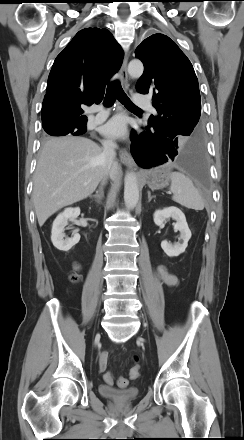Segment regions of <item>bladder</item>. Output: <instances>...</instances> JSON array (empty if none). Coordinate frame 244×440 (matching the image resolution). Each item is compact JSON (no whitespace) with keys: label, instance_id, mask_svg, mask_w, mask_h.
I'll list each match as a JSON object with an SVG mask.
<instances>
[{"label":"bladder","instance_id":"31cf9c89","mask_svg":"<svg viewBox=\"0 0 244 440\" xmlns=\"http://www.w3.org/2000/svg\"><path fill=\"white\" fill-rule=\"evenodd\" d=\"M99 393L115 403H130L139 396V390L135 387L116 389L104 384L99 385Z\"/></svg>","mask_w":244,"mask_h":440}]
</instances>
